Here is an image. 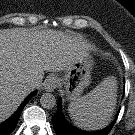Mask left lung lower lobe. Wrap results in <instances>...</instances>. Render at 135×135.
Listing matches in <instances>:
<instances>
[{"instance_id": "left-lung-lower-lobe-1", "label": "left lung lower lobe", "mask_w": 135, "mask_h": 135, "mask_svg": "<svg viewBox=\"0 0 135 135\" xmlns=\"http://www.w3.org/2000/svg\"><path fill=\"white\" fill-rule=\"evenodd\" d=\"M116 119L108 127H106L105 129L99 132L91 133V132L80 131L74 127H71L67 123V121L63 118L61 112V99L59 98L57 104V111L56 114L52 117V122L57 135H107L110 132L113 125L115 124Z\"/></svg>"}]
</instances>
